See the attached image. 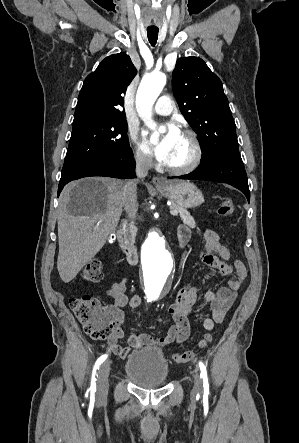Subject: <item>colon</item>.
<instances>
[{
  "label": "colon",
  "mask_w": 299,
  "mask_h": 443,
  "mask_svg": "<svg viewBox=\"0 0 299 443\" xmlns=\"http://www.w3.org/2000/svg\"><path fill=\"white\" fill-rule=\"evenodd\" d=\"M233 212L234 205L231 198H224L217 209L218 215L229 217ZM82 277L87 282H100L103 279L101 262L97 259L89 261L83 269ZM69 307L92 339L104 341L113 337L117 318L113 311L103 306L97 298L90 295L72 297L69 300ZM212 341V333H205L199 341V347L205 348ZM195 357L196 354L192 350L177 352L172 356L176 363H187Z\"/></svg>",
  "instance_id": "1"
}]
</instances>
